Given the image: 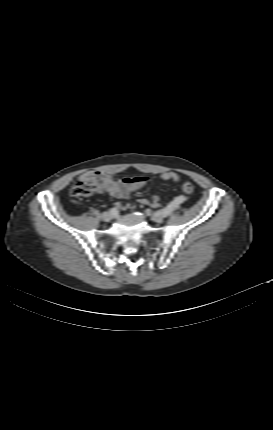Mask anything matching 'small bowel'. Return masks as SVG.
<instances>
[{
    "label": "small bowel",
    "instance_id": "c3829d8e",
    "mask_svg": "<svg viewBox=\"0 0 273 430\" xmlns=\"http://www.w3.org/2000/svg\"><path fill=\"white\" fill-rule=\"evenodd\" d=\"M99 184V193H108L112 197L118 199H128L132 194L144 188L150 181L147 176H136V177H126L122 179H115L111 174L105 172L96 173ZM163 180L170 181L176 184L180 180V176L176 172H164L160 175ZM180 203H183L185 198L183 196L177 197ZM139 202L144 205H149L153 208L160 206V198L157 195H153L150 198L139 199ZM117 207L119 209L125 210L130 206L128 204L118 203Z\"/></svg>",
    "mask_w": 273,
    "mask_h": 430
}]
</instances>
